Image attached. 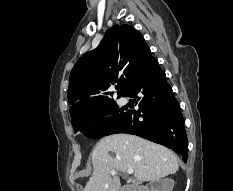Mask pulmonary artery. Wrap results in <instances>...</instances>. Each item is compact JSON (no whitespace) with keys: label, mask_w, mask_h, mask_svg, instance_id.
Instances as JSON below:
<instances>
[{"label":"pulmonary artery","mask_w":233,"mask_h":191,"mask_svg":"<svg viewBox=\"0 0 233 191\" xmlns=\"http://www.w3.org/2000/svg\"><path fill=\"white\" fill-rule=\"evenodd\" d=\"M119 103H120V105H125L127 103V99L126 98H120Z\"/></svg>","instance_id":"e3ab8cb5"}]
</instances>
